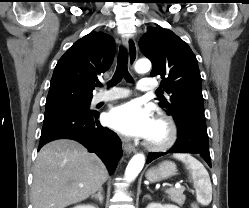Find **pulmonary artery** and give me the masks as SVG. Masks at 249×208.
<instances>
[{
    "instance_id": "e3ab8cb5",
    "label": "pulmonary artery",
    "mask_w": 249,
    "mask_h": 208,
    "mask_svg": "<svg viewBox=\"0 0 249 208\" xmlns=\"http://www.w3.org/2000/svg\"><path fill=\"white\" fill-rule=\"evenodd\" d=\"M156 83L155 81L148 79V78H142L139 80L137 84V88L144 93H149L156 89ZM131 95V91L126 88H117L113 91H110L108 93H99L97 94L93 102L94 103H100V102H106V101H112L116 99H122L127 98Z\"/></svg>"
}]
</instances>
